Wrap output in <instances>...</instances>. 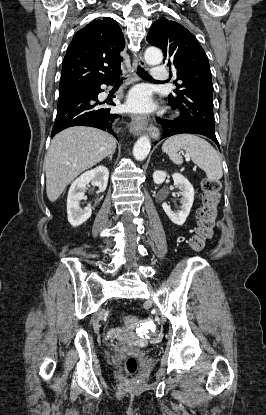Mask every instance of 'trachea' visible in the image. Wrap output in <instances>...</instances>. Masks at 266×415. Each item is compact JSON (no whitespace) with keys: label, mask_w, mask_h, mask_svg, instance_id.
Segmentation results:
<instances>
[{"label":"trachea","mask_w":266,"mask_h":415,"mask_svg":"<svg viewBox=\"0 0 266 415\" xmlns=\"http://www.w3.org/2000/svg\"><path fill=\"white\" fill-rule=\"evenodd\" d=\"M137 73L143 78L152 79V77L141 66L137 67Z\"/></svg>","instance_id":"trachea-1"}]
</instances>
